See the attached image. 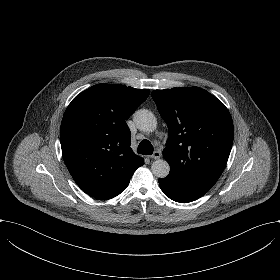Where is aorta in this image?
<instances>
[{"label": "aorta", "instance_id": "1", "mask_svg": "<svg viewBox=\"0 0 280 280\" xmlns=\"http://www.w3.org/2000/svg\"><path fill=\"white\" fill-rule=\"evenodd\" d=\"M134 121L137 123L138 128L144 132H152L157 126L155 115L147 109L137 110L134 113ZM151 171L155 177L165 178L169 175L170 166L167 161L157 159L152 163Z\"/></svg>", "mask_w": 280, "mask_h": 280}]
</instances>
